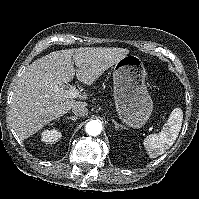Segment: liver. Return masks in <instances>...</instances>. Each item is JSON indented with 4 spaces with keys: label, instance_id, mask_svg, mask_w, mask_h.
Wrapping results in <instances>:
<instances>
[{
    "label": "liver",
    "instance_id": "1",
    "mask_svg": "<svg viewBox=\"0 0 199 199\" xmlns=\"http://www.w3.org/2000/svg\"><path fill=\"white\" fill-rule=\"evenodd\" d=\"M128 54L124 48L80 47L54 51L35 60L19 78L11 101L12 127L18 137L27 139L87 98L84 93L76 101L60 93V86L69 83L75 72L79 81L91 85Z\"/></svg>",
    "mask_w": 199,
    "mask_h": 199
}]
</instances>
